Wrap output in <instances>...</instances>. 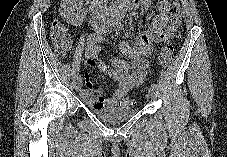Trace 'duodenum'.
I'll return each instance as SVG.
<instances>
[{
	"label": "duodenum",
	"mask_w": 227,
	"mask_h": 157,
	"mask_svg": "<svg viewBox=\"0 0 227 157\" xmlns=\"http://www.w3.org/2000/svg\"><path fill=\"white\" fill-rule=\"evenodd\" d=\"M137 7H138V0H130L128 6L123 11V13L121 15H115L113 19L114 23H122L126 18V16L132 13L133 11H135Z\"/></svg>",
	"instance_id": "duodenum-1"
}]
</instances>
